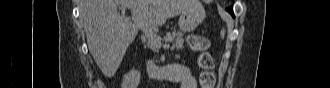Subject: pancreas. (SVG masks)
<instances>
[{
  "mask_svg": "<svg viewBox=\"0 0 330 88\" xmlns=\"http://www.w3.org/2000/svg\"><path fill=\"white\" fill-rule=\"evenodd\" d=\"M163 40H165V41L173 40L174 43L172 45V48H176L177 50H180L183 48L184 39H183L182 32L173 31L172 33H167L166 36L163 37ZM160 41H161V38H160ZM146 43H147V46L151 50H153L155 52L158 50V48L151 42L150 39H148V41Z\"/></svg>",
  "mask_w": 330,
  "mask_h": 88,
  "instance_id": "pancreas-1",
  "label": "pancreas"
}]
</instances>
